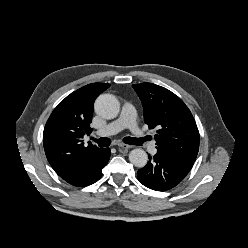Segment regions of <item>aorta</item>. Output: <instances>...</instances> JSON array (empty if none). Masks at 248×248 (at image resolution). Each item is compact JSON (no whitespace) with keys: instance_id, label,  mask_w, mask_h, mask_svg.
<instances>
[{"instance_id":"aorta-1","label":"aorta","mask_w":248,"mask_h":248,"mask_svg":"<svg viewBox=\"0 0 248 248\" xmlns=\"http://www.w3.org/2000/svg\"><path fill=\"white\" fill-rule=\"evenodd\" d=\"M96 113L105 118L113 119L117 117L120 111V103L112 94H102L95 102ZM129 161L136 167L142 168L147 164V153L139 148L133 149L129 153Z\"/></svg>"}]
</instances>
